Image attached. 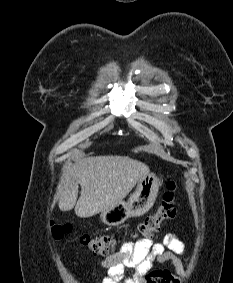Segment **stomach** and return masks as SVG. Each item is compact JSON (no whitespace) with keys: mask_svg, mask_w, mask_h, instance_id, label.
Returning <instances> with one entry per match:
<instances>
[{"mask_svg":"<svg viewBox=\"0 0 233 283\" xmlns=\"http://www.w3.org/2000/svg\"><path fill=\"white\" fill-rule=\"evenodd\" d=\"M161 183L159 178L148 172L138 181L135 192L128 201H121L114 207L101 212V220L109 226H119L128 218L139 217L153 206Z\"/></svg>","mask_w":233,"mask_h":283,"instance_id":"obj_1","label":"stomach"}]
</instances>
